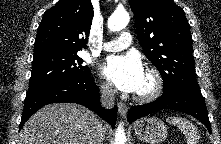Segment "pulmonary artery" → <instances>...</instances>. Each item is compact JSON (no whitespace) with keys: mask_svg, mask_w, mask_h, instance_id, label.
<instances>
[{"mask_svg":"<svg viewBox=\"0 0 221 144\" xmlns=\"http://www.w3.org/2000/svg\"><path fill=\"white\" fill-rule=\"evenodd\" d=\"M131 41V34L124 31L117 39L104 43L102 48L108 52H116L127 48L131 44Z\"/></svg>","mask_w":221,"mask_h":144,"instance_id":"1","label":"pulmonary artery"}]
</instances>
